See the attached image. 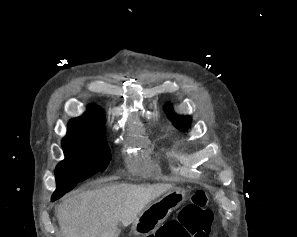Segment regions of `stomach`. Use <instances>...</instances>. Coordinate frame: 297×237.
<instances>
[{
	"instance_id": "1",
	"label": "stomach",
	"mask_w": 297,
	"mask_h": 237,
	"mask_svg": "<svg viewBox=\"0 0 297 237\" xmlns=\"http://www.w3.org/2000/svg\"><path fill=\"white\" fill-rule=\"evenodd\" d=\"M186 193L181 188H174L158 200L147 205L134 221L131 232L138 237L152 235L169 214L185 200Z\"/></svg>"
}]
</instances>
